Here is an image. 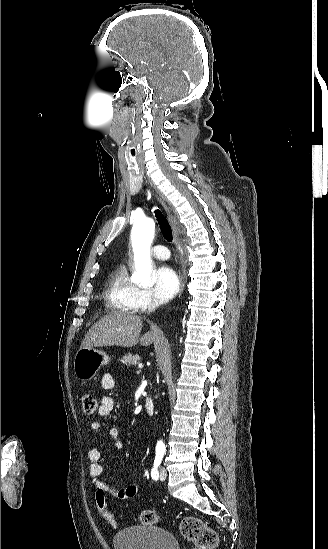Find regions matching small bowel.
<instances>
[{
  "label": "small bowel",
  "instance_id": "c3829d8e",
  "mask_svg": "<svg viewBox=\"0 0 328 549\" xmlns=\"http://www.w3.org/2000/svg\"><path fill=\"white\" fill-rule=\"evenodd\" d=\"M101 385L105 390H111L115 387L114 377L106 373L102 376ZM115 406L114 399L111 396H103L100 405L98 407V414L101 417L109 415ZM102 427V422L100 420H93L90 423V428L93 431H99ZM109 435L114 440V449L115 452H120L122 448V443L118 439V429L112 428L109 431ZM101 452L97 448H92L87 454L88 460V473L92 479V482L96 488L102 487L105 493L110 494L111 496L120 499V500H129L136 496L139 490V486L136 483H132L124 488H115L114 486L105 482L102 473L103 467L100 463Z\"/></svg>",
  "mask_w": 328,
  "mask_h": 549
}]
</instances>
